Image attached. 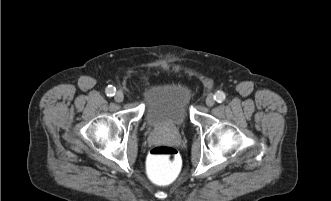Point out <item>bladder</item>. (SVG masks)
Instances as JSON below:
<instances>
[{"label": "bladder", "mask_w": 331, "mask_h": 201, "mask_svg": "<svg viewBox=\"0 0 331 201\" xmlns=\"http://www.w3.org/2000/svg\"><path fill=\"white\" fill-rule=\"evenodd\" d=\"M191 99V90L185 83L157 82L147 92L144 122L158 129L181 127L189 119Z\"/></svg>", "instance_id": "obj_1"}]
</instances>
